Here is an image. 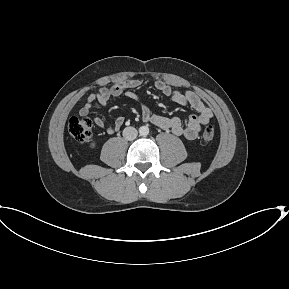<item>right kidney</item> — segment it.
Wrapping results in <instances>:
<instances>
[{"instance_id":"right-kidney-1","label":"right kidney","mask_w":289,"mask_h":289,"mask_svg":"<svg viewBox=\"0 0 289 289\" xmlns=\"http://www.w3.org/2000/svg\"><path fill=\"white\" fill-rule=\"evenodd\" d=\"M95 142H92L91 144H90V148H94L95 147Z\"/></svg>"}]
</instances>
